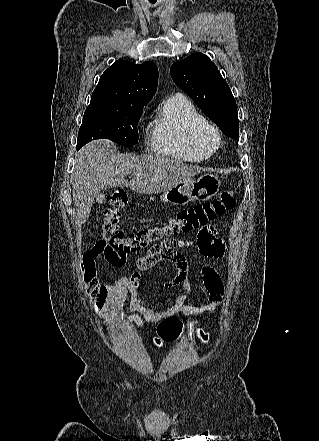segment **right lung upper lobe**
Listing matches in <instances>:
<instances>
[{
	"label": "right lung upper lobe",
	"instance_id": "cb5924a9",
	"mask_svg": "<svg viewBox=\"0 0 319 441\" xmlns=\"http://www.w3.org/2000/svg\"><path fill=\"white\" fill-rule=\"evenodd\" d=\"M157 84L158 68L153 62L138 65L118 60L100 77L90 105L144 106L154 96Z\"/></svg>",
	"mask_w": 319,
	"mask_h": 441
}]
</instances>
